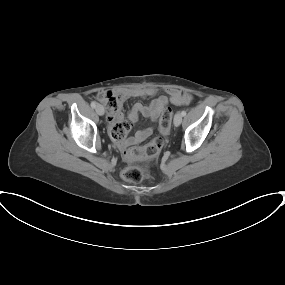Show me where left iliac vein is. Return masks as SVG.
Instances as JSON below:
<instances>
[{
	"mask_svg": "<svg viewBox=\"0 0 285 285\" xmlns=\"http://www.w3.org/2000/svg\"><path fill=\"white\" fill-rule=\"evenodd\" d=\"M181 122H182V114L180 112H177L174 117V125L179 126Z\"/></svg>",
	"mask_w": 285,
	"mask_h": 285,
	"instance_id": "1",
	"label": "left iliac vein"
}]
</instances>
